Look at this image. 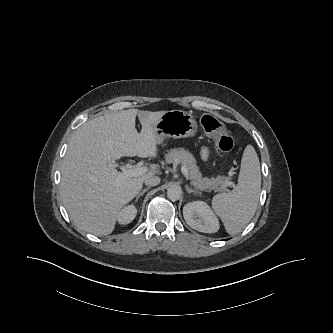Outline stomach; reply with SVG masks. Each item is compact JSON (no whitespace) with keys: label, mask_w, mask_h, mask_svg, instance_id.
Instances as JSON below:
<instances>
[{"label":"stomach","mask_w":333,"mask_h":333,"mask_svg":"<svg viewBox=\"0 0 333 333\" xmlns=\"http://www.w3.org/2000/svg\"><path fill=\"white\" fill-rule=\"evenodd\" d=\"M157 143H162L166 137L186 138L197 133V122L194 116L182 110L166 111L154 127Z\"/></svg>","instance_id":"1"}]
</instances>
